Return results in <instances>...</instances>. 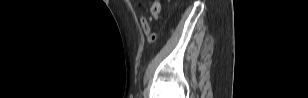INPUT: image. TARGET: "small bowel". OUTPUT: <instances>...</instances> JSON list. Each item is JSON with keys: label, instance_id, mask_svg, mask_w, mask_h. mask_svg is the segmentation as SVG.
I'll return each instance as SVG.
<instances>
[{"label": "small bowel", "instance_id": "1", "mask_svg": "<svg viewBox=\"0 0 308 98\" xmlns=\"http://www.w3.org/2000/svg\"><path fill=\"white\" fill-rule=\"evenodd\" d=\"M139 20H140L141 28L143 32L145 33V35L148 36L149 34H151V28H150L148 19L143 14H141Z\"/></svg>", "mask_w": 308, "mask_h": 98}]
</instances>
